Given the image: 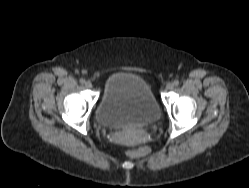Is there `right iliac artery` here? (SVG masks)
<instances>
[{
  "label": "right iliac artery",
  "instance_id": "obj_1",
  "mask_svg": "<svg viewBox=\"0 0 249 188\" xmlns=\"http://www.w3.org/2000/svg\"><path fill=\"white\" fill-rule=\"evenodd\" d=\"M80 83H81V84H84V83H85V79L81 78V79H80Z\"/></svg>",
  "mask_w": 249,
  "mask_h": 188
}]
</instances>
